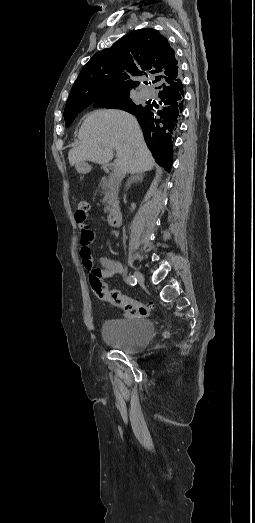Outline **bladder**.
<instances>
[{
  "mask_svg": "<svg viewBox=\"0 0 255 523\" xmlns=\"http://www.w3.org/2000/svg\"><path fill=\"white\" fill-rule=\"evenodd\" d=\"M154 326L143 317L105 319L103 339L124 353H137L148 345Z\"/></svg>",
  "mask_w": 255,
  "mask_h": 523,
  "instance_id": "bladder-1",
  "label": "bladder"
}]
</instances>
